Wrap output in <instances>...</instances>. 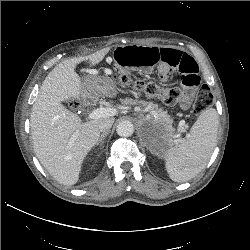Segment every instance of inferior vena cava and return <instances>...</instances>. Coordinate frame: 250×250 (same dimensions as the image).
<instances>
[{
	"label": "inferior vena cava",
	"instance_id": "1",
	"mask_svg": "<svg viewBox=\"0 0 250 250\" xmlns=\"http://www.w3.org/2000/svg\"><path fill=\"white\" fill-rule=\"evenodd\" d=\"M114 123V119L113 118H108V119H104L99 123V131L106 133L109 132L112 124Z\"/></svg>",
	"mask_w": 250,
	"mask_h": 250
}]
</instances>
